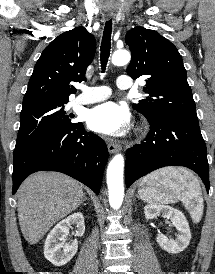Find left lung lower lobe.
<instances>
[{
	"label": "left lung lower lobe",
	"mask_w": 215,
	"mask_h": 274,
	"mask_svg": "<svg viewBox=\"0 0 215 274\" xmlns=\"http://www.w3.org/2000/svg\"><path fill=\"white\" fill-rule=\"evenodd\" d=\"M148 121L146 142L126 152V186L161 167L184 166L195 171L209 191L207 149L198 122L175 117Z\"/></svg>",
	"instance_id": "0a47b994"
}]
</instances>
